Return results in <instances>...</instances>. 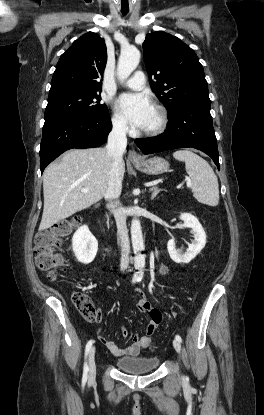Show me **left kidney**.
<instances>
[{"mask_svg": "<svg viewBox=\"0 0 264 415\" xmlns=\"http://www.w3.org/2000/svg\"><path fill=\"white\" fill-rule=\"evenodd\" d=\"M180 219L183 220V226L185 228H191L194 240L188 244V248L185 253L176 249L174 239H170L167 243V249L171 259L176 263L187 264L193 260L205 247L206 233L200 224L199 220L190 213H182Z\"/></svg>", "mask_w": 264, "mask_h": 415, "instance_id": "obj_1", "label": "left kidney"}]
</instances>
